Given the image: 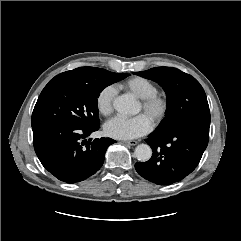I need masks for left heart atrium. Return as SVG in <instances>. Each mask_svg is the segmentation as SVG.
I'll return each mask as SVG.
<instances>
[{
    "label": "left heart atrium",
    "instance_id": "1",
    "mask_svg": "<svg viewBox=\"0 0 241 241\" xmlns=\"http://www.w3.org/2000/svg\"><path fill=\"white\" fill-rule=\"evenodd\" d=\"M151 128V119L146 114H139L132 118L116 116L105 124L104 131L110 137L130 140L148 133Z\"/></svg>",
    "mask_w": 241,
    "mask_h": 241
}]
</instances>
